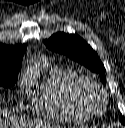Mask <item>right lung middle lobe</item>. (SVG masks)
<instances>
[{"mask_svg":"<svg viewBox=\"0 0 125 128\" xmlns=\"http://www.w3.org/2000/svg\"><path fill=\"white\" fill-rule=\"evenodd\" d=\"M18 69L0 68V86L11 87L16 83L18 78Z\"/></svg>","mask_w":125,"mask_h":128,"instance_id":"1","label":"right lung middle lobe"}]
</instances>
